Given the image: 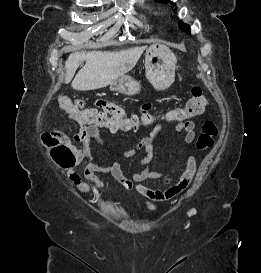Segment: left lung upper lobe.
I'll list each match as a JSON object with an SVG mask.
<instances>
[{"instance_id": "left-lung-upper-lobe-1", "label": "left lung upper lobe", "mask_w": 261, "mask_h": 273, "mask_svg": "<svg viewBox=\"0 0 261 273\" xmlns=\"http://www.w3.org/2000/svg\"><path fill=\"white\" fill-rule=\"evenodd\" d=\"M160 2H168V0H158ZM172 5H175L174 3H172ZM179 28L183 31H185L186 33L190 34V26L188 24H185L183 22H179Z\"/></svg>"}]
</instances>
